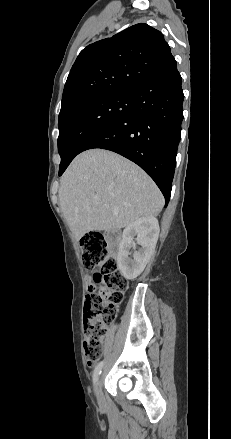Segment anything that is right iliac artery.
<instances>
[{"label": "right iliac artery", "instance_id": "82829eb1", "mask_svg": "<svg viewBox=\"0 0 231 439\" xmlns=\"http://www.w3.org/2000/svg\"><path fill=\"white\" fill-rule=\"evenodd\" d=\"M103 364H104V362L101 361V362L95 367V370H94V373H93V383H94V385H95V384L97 383V381H98V377H99V375L101 374V370H102Z\"/></svg>", "mask_w": 231, "mask_h": 439}]
</instances>
